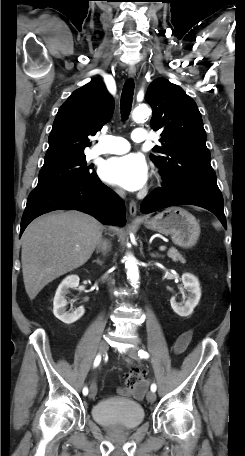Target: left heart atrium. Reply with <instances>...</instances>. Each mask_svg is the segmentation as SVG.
<instances>
[{
    "instance_id": "1",
    "label": "left heart atrium",
    "mask_w": 245,
    "mask_h": 456,
    "mask_svg": "<svg viewBox=\"0 0 245 456\" xmlns=\"http://www.w3.org/2000/svg\"><path fill=\"white\" fill-rule=\"evenodd\" d=\"M101 175L111 184L135 191L146 183L148 166L142 155L130 153L107 160L102 167Z\"/></svg>"
}]
</instances>
